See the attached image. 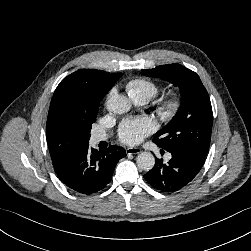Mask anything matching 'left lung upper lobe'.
<instances>
[{
	"label": "left lung upper lobe",
	"instance_id": "1",
	"mask_svg": "<svg viewBox=\"0 0 251 251\" xmlns=\"http://www.w3.org/2000/svg\"><path fill=\"white\" fill-rule=\"evenodd\" d=\"M148 77L161 78L179 86L181 105L173 119L156 133L153 142L165 150L190 149L206 157L213 114L208 93L199 76L180 64L142 69Z\"/></svg>",
	"mask_w": 251,
	"mask_h": 251
}]
</instances>
